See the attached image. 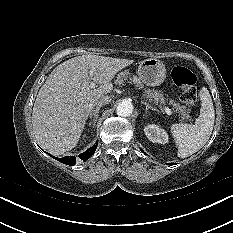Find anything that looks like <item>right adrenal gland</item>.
<instances>
[{"mask_svg":"<svg viewBox=\"0 0 233 233\" xmlns=\"http://www.w3.org/2000/svg\"><path fill=\"white\" fill-rule=\"evenodd\" d=\"M101 109V106L96 107L89 115V118L92 119L93 118V126H95V123L98 119V113L99 110ZM91 124V123H90Z\"/></svg>","mask_w":233,"mask_h":233,"instance_id":"1","label":"right adrenal gland"}]
</instances>
